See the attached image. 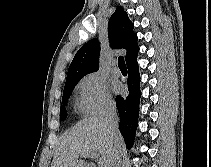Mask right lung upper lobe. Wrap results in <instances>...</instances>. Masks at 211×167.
<instances>
[{
	"label": "right lung upper lobe",
	"mask_w": 211,
	"mask_h": 167,
	"mask_svg": "<svg viewBox=\"0 0 211 167\" xmlns=\"http://www.w3.org/2000/svg\"><path fill=\"white\" fill-rule=\"evenodd\" d=\"M133 23L129 20L127 13L118 6L109 19L108 37L112 48H124L127 51L126 63L137 58L139 47L137 35L133 32ZM100 45L97 39H92L83 45L75 54L71 62L66 82L81 79L84 75L98 71L99 69Z\"/></svg>",
	"instance_id": "cb5924a9"
}]
</instances>
